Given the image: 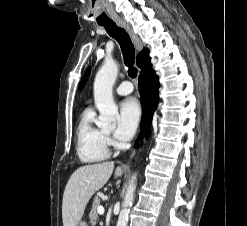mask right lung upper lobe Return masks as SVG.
Returning <instances> with one entry per match:
<instances>
[{"instance_id": "cb5924a9", "label": "right lung upper lobe", "mask_w": 247, "mask_h": 226, "mask_svg": "<svg viewBox=\"0 0 247 226\" xmlns=\"http://www.w3.org/2000/svg\"><path fill=\"white\" fill-rule=\"evenodd\" d=\"M150 62L149 52L144 49L141 55L137 56V65L142 70Z\"/></svg>"}]
</instances>
